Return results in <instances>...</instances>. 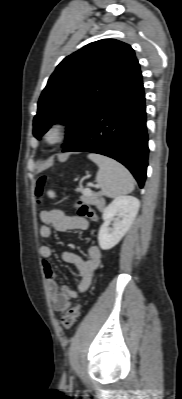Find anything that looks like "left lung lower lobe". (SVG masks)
Wrapping results in <instances>:
<instances>
[{"instance_id": "1", "label": "left lung lower lobe", "mask_w": 182, "mask_h": 399, "mask_svg": "<svg viewBox=\"0 0 182 399\" xmlns=\"http://www.w3.org/2000/svg\"><path fill=\"white\" fill-rule=\"evenodd\" d=\"M63 152H92L111 157L126 166L143 187L149 148L141 72L106 102Z\"/></svg>"}]
</instances>
